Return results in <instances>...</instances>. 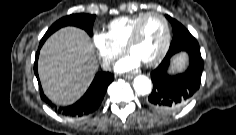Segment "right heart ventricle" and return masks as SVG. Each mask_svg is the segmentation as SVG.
I'll return each instance as SVG.
<instances>
[{
  "label": "right heart ventricle",
  "instance_id": "e07e8e85",
  "mask_svg": "<svg viewBox=\"0 0 236 135\" xmlns=\"http://www.w3.org/2000/svg\"><path fill=\"white\" fill-rule=\"evenodd\" d=\"M145 13L133 16H123L109 22L106 29V36L109 40L120 48H124L127 40L136 25Z\"/></svg>",
  "mask_w": 236,
  "mask_h": 135
}]
</instances>
